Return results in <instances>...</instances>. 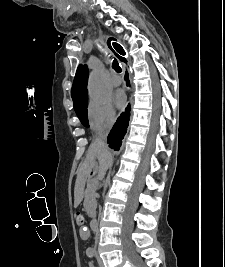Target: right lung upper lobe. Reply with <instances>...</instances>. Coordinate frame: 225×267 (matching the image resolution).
Segmentation results:
<instances>
[{
  "label": "right lung upper lobe",
  "instance_id": "cb5924a9",
  "mask_svg": "<svg viewBox=\"0 0 225 267\" xmlns=\"http://www.w3.org/2000/svg\"><path fill=\"white\" fill-rule=\"evenodd\" d=\"M87 81H88V69L86 65H79L74 78L71 96L74 102V107L77 106L87 97Z\"/></svg>",
  "mask_w": 225,
  "mask_h": 267
}]
</instances>
